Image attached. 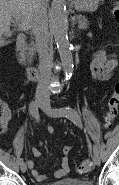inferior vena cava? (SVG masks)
Instances as JSON below:
<instances>
[{
	"label": "inferior vena cava",
	"mask_w": 119,
	"mask_h": 185,
	"mask_svg": "<svg viewBox=\"0 0 119 185\" xmlns=\"http://www.w3.org/2000/svg\"><path fill=\"white\" fill-rule=\"evenodd\" d=\"M32 32L35 36L36 48L39 55L40 78L36 89V97L50 99V83L52 72L49 65L52 53L49 48L48 18L44 2L40 3L33 17Z\"/></svg>",
	"instance_id": "obj_1"
}]
</instances>
